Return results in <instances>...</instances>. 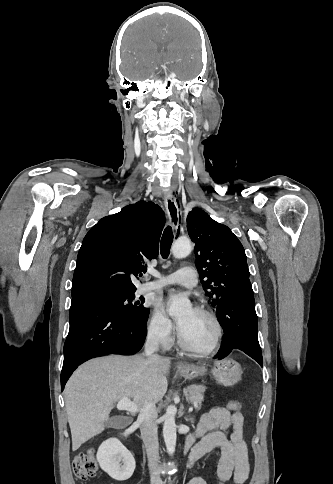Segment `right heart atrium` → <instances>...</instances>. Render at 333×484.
Instances as JSON below:
<instances>
[{
    "instance_id": "right-heart-atrium-1",
    "label": "right heart atrium",
    "mask_w": 333,
    "mask_h": 484,
    "mask_svg": "<svg viewBox=\"0 0 333 484\" xmlns=\"http://www.w3.org/2000/svg\"><path fill=\"white\" fill-rule=\"evenodd\" d=\"M148 338L162 348L173 344L175 328L171 320L159 309L151 314L147 325Z\"/></svg>"
}]
</instances>
